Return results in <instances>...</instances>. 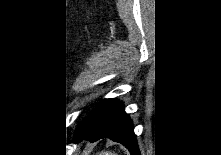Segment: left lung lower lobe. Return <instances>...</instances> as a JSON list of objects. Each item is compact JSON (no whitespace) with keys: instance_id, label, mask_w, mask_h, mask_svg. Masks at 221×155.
Instances as JSON below:
<instances>
[{"instance_id":"1","label":"left lung lower lobe","mask_w":221,"mask_h":155,"mask_svg":"<svg viewBox=\"0 0 221 155\" xmlns=\"http://www.w3.org/2000/svg\"><path fill=\"white\" fill-rule=\"evenodd\" d=\"M108 137L127 147L132 155H140L132 123L118 100L104 99L76 129L74 141L92 142Z\"/></svg>"}]
</instances>
